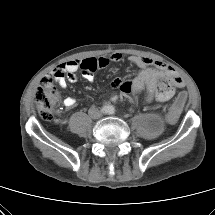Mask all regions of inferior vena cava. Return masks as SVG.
<instances>
[{
	"mask_svg": "<svg viewBox=\"0 0 215 215\" xmlns=\"http://www.w3.org/2000/svg\"><path fill=\"white\" fill-rule=\"evenodd\" d=\"M88 113H89L90 117L93 119H97L102 115V113L95 107H91L89 109Z\"/></svg>",
	"mask_w": 215,
	"mask_h": 215,
	"instance_id": "obj_1",
	"label": "inferior vena cava"
}]
</instances>
